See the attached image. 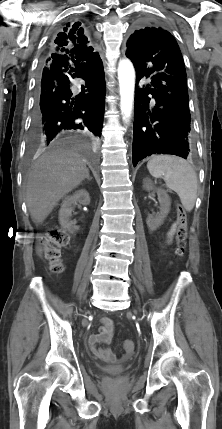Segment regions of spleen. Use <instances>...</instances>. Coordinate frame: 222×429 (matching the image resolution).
I'll list each match as a JSON object with an SVG mask.
<instances>
[{"instance_id":"3e777b00","label":"spleen","mask_w":222,"mask_h":429,"mask_svg":"<svg viewBox=\"0 0 222 429\" xmlns=\"http://www.w3.org/2000/svg\"><path fill=\"white\" fill-rule=\"evenodd\" d=\"M150 174L164 178L167 186L175 191L186 211L190 212L197 197V177L193 168L177 156L155 155L147 163Z\"/></svg>"}]
</instances>
